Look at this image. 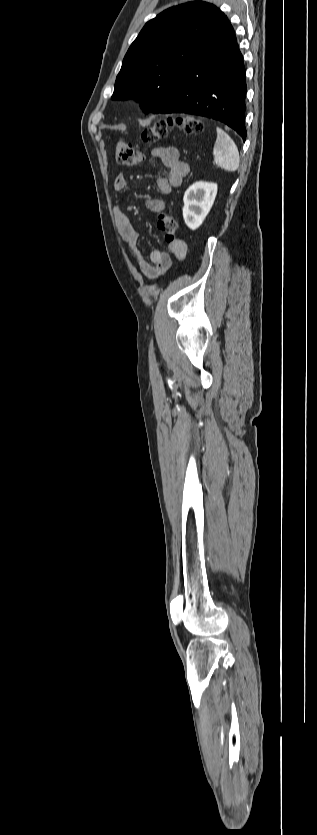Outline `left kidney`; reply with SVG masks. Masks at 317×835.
<instances>
[{
  "label": "left kidney",
  "instance_id": "left-kidney-1",
  "mask_svg": "<svg viewBox=\"0 0 317 835\" xmlns=\"http://www.w3.org/2000/svg\"><path fill=\"white\" fill-rule=\"evenodd\" d=\"M217 194V184L196 182L186 190L183 218L192 230L197 229L208 215Z\"/></svg>",
  "mask_w": 317,
  "mask_h": 835
}]
</instances>
